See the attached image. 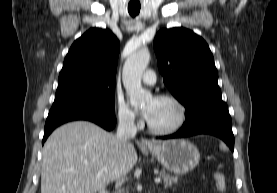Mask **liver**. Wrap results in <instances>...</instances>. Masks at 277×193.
<instances>
[{
    "label": "liver",
    "mask_w": 277,
    "mask_h": 193,
    "mask_svg": "<svg viewBox=\"0 0 277 193\" xmlns=\"http://www.w3.org/2000/svg\"><path fill=\"white\" fill-rule=\"evenodd\" d=\"M137 159L132 143H122L99 126L67 123L44 144L41 193H96L130 172Z\"/></svg>",
    "instance_id": "liver-1"
}]
</instances>
